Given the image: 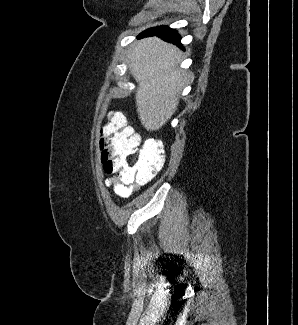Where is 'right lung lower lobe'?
I'll list each match as a JSON object with an SVG mask.
<instances>
[{
	"label": "right lung lower lobe",
	"mask_w": 298,
	"mask_h": 325,
	"mask_svg": "<svg viewBox=\"0 0 298 325\" xmlns=\"http://www.w3.org/2000/svg\"><path fill=\"white\" fill-rule=\"evenodd\" d=\"M141 36H158L163 40L180 46V36L167 26H159L144 31Z\"/></svg>",
	"instance_id": "right-lung-lower-lobe-1"
}]
</instances>
